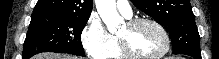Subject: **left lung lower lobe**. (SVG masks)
I'll return each mask as SVG.
<instances>
[{
    "instance_id": "1",
    "label": "left lung lower lobe",
    "mask_w": 219,
    "mask_h": 59,
    "mask_svg": "<svg viewBox=\"0 0 219 59\" xmlns=\"http://www.w3.org/2000/svg\"><path fill=\"white\" fill-rule=\"evenodd\" d=\"M182 54L190 55V56L194 57L195 59H202L200 52L187 51V52H184Z\"/></svg>"
}]
</instances>
